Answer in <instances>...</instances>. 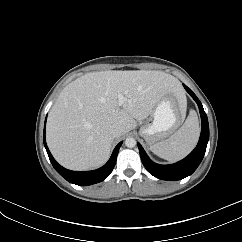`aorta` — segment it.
<instances>
[{
	"label": "aorta",
	"mask_w": 242,
	"mask_h": 242,
	"mask_svg": "<svg viewBox=\"0 0 242 242\" xmlns=\"http://www.w3.org/2000/svg\"><path fill=\"white\" fill-rule=\"evenodd\" d=\"M125 145L128 148H133L136 145V140L134 138H132V137H128L125 140Z\"/></svg>",
	"instance_id": "1"
}]
</instances>
